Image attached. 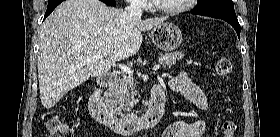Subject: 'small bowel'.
<instances>
[{
	"label": "small bowel",
	"instance_id": "small-bowel-1",
	"mask_svg": "<svg viewBox=\"0 0 280 137\" xmlns=\"http://www.w3.org/2000/svg\"><path fill=\"white\" fill-rule=\"evenodd\" d=\"M168 86L193 101L200 109L207 108L204 92L185 72H179L169 81ZM205 133L206 125L199 120L176 121L163 131L161 137H204Z\"/></svg>",
	"mask_w": 280,
	"mask_h": 137
}]
</instances>
